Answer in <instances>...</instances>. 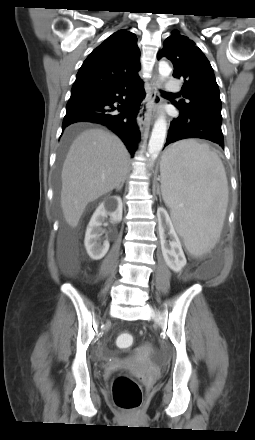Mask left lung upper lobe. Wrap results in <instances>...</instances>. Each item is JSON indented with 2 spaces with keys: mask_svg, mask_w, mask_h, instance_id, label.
Instances as JSON below:
<instances>
[{
  "mask_svg": "<svg viewBox=\"0 0 255 440\" xmlns=\"http://www.w3.org/2000/svg\"><path fill=\"white\" fill-rule=\"evenodd\" d=\"M167 57L174 66L173 76L183 79L182 95L188 102L175 103L178 109L221 116L220 92L210 62L195 43L178 30L164 41L158 60Z\"/></svg>",
  "mask_w": 255,
  "mask_h": 440,
  "instance_id": "obj_1",
  "label": "left lung upper lobe"
}]
</instances>
